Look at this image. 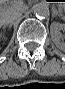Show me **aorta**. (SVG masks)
Returning a JSON list of instances; mask_svg holds the SVG:
<instances>
[{
  "label": "aorta",
  "mask_w": 65,
  "mask_h": 89,
  "mask_svg": "<svg viewBox=\"0 0 65 89\" xmlns=\"http://www.w3.org/2000/svg\"><path fill=\"white\" fill-rule=\"evenodd\" d=\"M33 13L37 19L46 20L50 17V9L46 2H39L33 6Z\"/></svg>",
  "instance_id": "1"
}]
</instances>
